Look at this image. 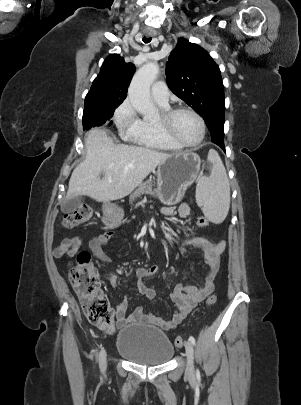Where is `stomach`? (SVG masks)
Returning <instances> with one entry per match:
<instances>
[{
    "label": "stomach",
    "instance_id": "obj_1",
    "mask_svg": "<svg viewBox=\"0 0 301 405\" xmlns=\"http://www.w3.org/2000/svg\"><path fill=\"white\" fill-rule=\"evenodd\" d=\"M201 160L198 154L184 151L170 154L162 160L157 170L156 195L160 201L173 205L182 200L189 186L199 177ZM110 213L108 217L106 214ZM122 219V212L110 208L106 209L105 220L109 228H115Z\"/></svg>",
    "mask_w": 301,
    "mask_h": 405
}]
</instances>
